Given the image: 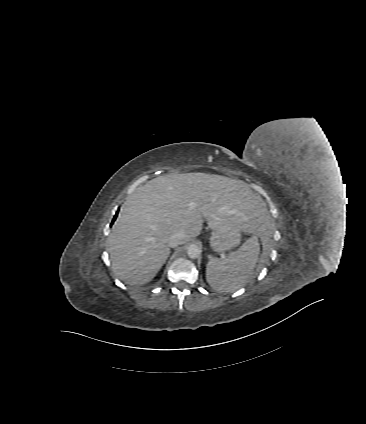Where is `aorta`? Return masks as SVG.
I'll list each match as a JSON object with an SVG mask.
<instances>
[{
    "label": "aorta",
    "instance_id": "obj_1",
    "mask_svg": "<svg viewBox=\"0 0 366 424\" xmlns=\"http://www.w3.org/2000/svg\"><path fill=\"white\" fill-rule=\"evenodd\" d=\"M187 254L191 259H197L201 254V250L197 245L191 244L187 249Z\"/></svg>",
    "mask_w": 366,
    "mask_h": 424
}]
</instances>
